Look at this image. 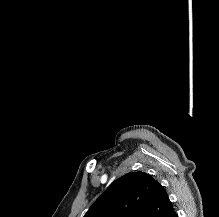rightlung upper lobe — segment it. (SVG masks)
I'll list each match as a JSON object with an SVG mask.
<instances>
[{"label":"right lung upper lobe","mask_w":219,"mask_h":217,"mask_svg":"<svg viewBox=\"0 0 219 217\" xmlns=\"http://www.w3.org/2000/svg\"><path fill=\"white\" fill-rule=\"evenodd\" d=\"M174 207L164 187L144 172L115 180L84 217H167Z\"/></svg>","instance_id":"1"}]
</instances>
